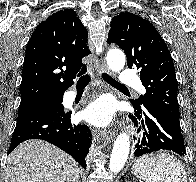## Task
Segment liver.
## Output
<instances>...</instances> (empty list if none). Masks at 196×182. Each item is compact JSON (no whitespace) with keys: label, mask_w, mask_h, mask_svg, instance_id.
I'll list each match as a JSON object with an SVG mask.
<instances>
[{"label":"liver","mask_w":196,"mask_h":182,"mask_svg":"<svg viewBox=\"0 0 196 182\" xmlns=\"http://www.w3.org/2000/svg\"><path fill=\"white\" fill-rule=\"evenodd\" d=\"M79 167L75 160L42 140H27L7 159L5 182H77Z\"/></svg>","instance_id":"6515ba94"}]
</instances>
